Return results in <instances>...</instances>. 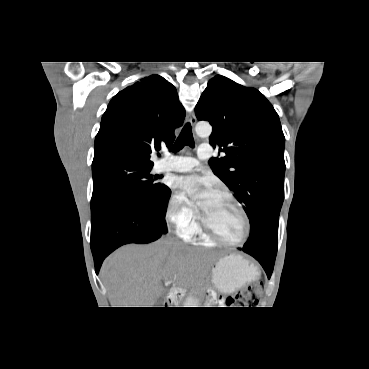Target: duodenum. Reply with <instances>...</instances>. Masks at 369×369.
Returning a JSON list of instances; mask_svg holds the SVG:
<instances>
[{
	"label": "duodenum",
	"instance_id": "duodenum-1",
	"mask_svg": "<svg viewBox=\"0 0 369 369\" xmlns=\"http://www.w3.org/2000/svg\"><path fill=\"white\" fill-rule=\"evenodd\" d=\"M174 297H175V296H174V293H173V292H171V293H170V295H169V298H170L171 300H173V299H174Z\"/></svg>",
	"mask_w": 369,
	"mask_h": 369
}]
</instances>
